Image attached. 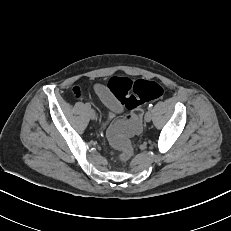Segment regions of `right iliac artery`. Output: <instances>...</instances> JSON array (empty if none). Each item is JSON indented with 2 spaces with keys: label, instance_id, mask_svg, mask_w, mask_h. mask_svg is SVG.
I'll use <instances>...</instances> for the list:
<instances>
[{
  "label": "right iliac artery",
  "instance_id": "82829eb1",
  "mask_svg": "<svg viewBox=\"0 0 231 231\" xmlns=\"http://www.w3.org/2000/svg\"><path fill=\"white\" fill-rule=\"evenodd\" d=\"M85 106H86L88 109H91L90 103H86Z\"/></svg>",
  "mask_w": 231,
  "mask_h": 231
}]
</instances>
